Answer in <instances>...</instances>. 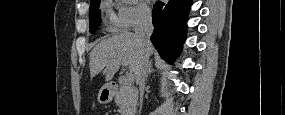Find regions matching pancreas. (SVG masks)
Wrapping results in <instances>:
<instances>
[{"label": "pancreas", "mask_w": 285, "mask_h": 115, "mask_svg": "<svg viewBox=\"0 0 285 115\" xmlns=\"http://www.w3.org/2000/svg\"><path fill=\"white\" fill-rule=\"evenodd\" d=\"M137 90L134 86L123 82L115 92V103L120 106L121 115H132L137 103Z\"/></svg>", "instance_id": "1"}]
</instances>
